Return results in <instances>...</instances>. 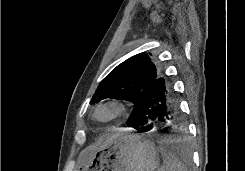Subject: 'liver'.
<instances>
[{
  "instance_id": "6515ba94",
  "label": "liver",
  "mask_w": 245,
  "mask_h": 171,
  "mask_svg": "<svg viewBox=\"0 0 245 171\" xmlns=\"http://www.w3.org/2000/svg\"><path fill=\"white\" fill-rule=\"evenodd\" d=\"M112 138H113V136H109V135H108V136H103V137L98 141V143H97L95 146L89 148V151H95V150H97V149H99V148H101V147L106 146L107 144L110 143V141L112 140Z\"/></svg>"
}]
</instances>
